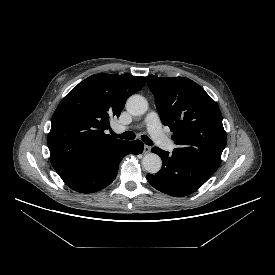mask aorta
<instances>
[{"label":"aorta","instance_id":"1","mask_svg":"<svg viewBox=\"0 0 275 275\" xmlns=\"http://www.w3.org/2000/svg\"><path fill=\"white\" fill-rule=\"evenodd\" d=\"M147 109V100L141 95H132L126 102V110L132 115H142ZM142 165L148 173L155 174L160 171L162 161L157 154L148 153L143 157Z\"/></svg>","mask_w":275,"mask_h":275}]
</instances>
